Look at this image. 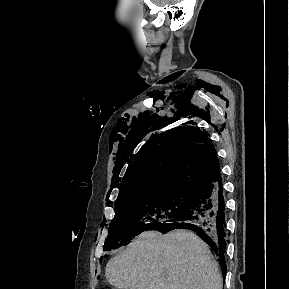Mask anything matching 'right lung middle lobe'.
Masks as SVG:
<instances>
[{"label":"right lung middle lobe","instance_id":"obj_1","mask_svg":"<svg viewBox=\"0 0 289 289\" xmlns=\"http://www.w3.org/2000/svg\"><path fill=\"white\" fill-rule=\"evenodd\" d=\"M195 192L176 190L134 196L115 204V217L103 250L128 243L143 231L157 230L172 218L186 213Z\"/></svg>","mask_w":289,"mask_h":289}]
</instances>
